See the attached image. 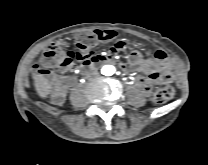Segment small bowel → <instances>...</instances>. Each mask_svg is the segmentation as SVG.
Segmentation results:
<instances>
[{
    "instance_id": "obj_1",
    "label": "small bowel",
    "mask_w": 208,
    "mask_h": 165,
    "mask_svg": "<svg viewBox=\"0 0 208 165\" xmlns=\"http://www.w3.org/2000/svg\"><path fill=\"white\" fill-rule=\"evenodd\" d=\"M105 33L111 34L112 38L116 33L112 30H105ZM107 41V40H106ZM130 49L128 60L126 63H121L120 68L125 72H131L137 76L139 84L148 94L151 91L152 85L167 84L173 81V63L164 51L155 52L153 58H146L135 49V45L125 40H119L109 49L106 54L93 55L92 57L83 58L80 60L82 67H92L98 63L114 61V55L123 50ZM73 67L63 68L62 72L66 73ZM73 82V79L66 80L61 83L62 87H66ZM64 100V94L55 97L54 102L61 104Z\"/></svg>"
}]
</instances>
